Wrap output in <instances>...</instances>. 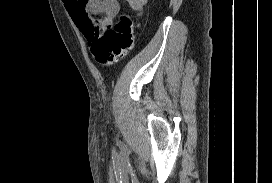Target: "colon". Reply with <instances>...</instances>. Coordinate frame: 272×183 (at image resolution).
Returning <instances> with one entry per match:
<instances>
[{"label": "colon", "instance_id": "5ec220e1", "mask_svg": "<svg viewBox=\"0 0 272 183\" xmlns=\"http://www.w3.org/2000/svg\"><path fill=\"white\" fill-rule=\"evenodd\" d=\"M90 50L102 66H112L133 47L134 29L129 17L122 15L104 34L90 40Z\"/></svg>", "mask_w": 272, "mask_h": 183}]
</instances>
